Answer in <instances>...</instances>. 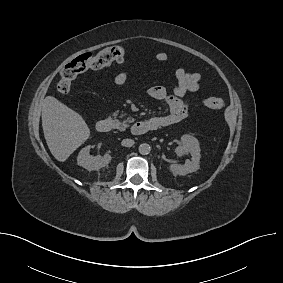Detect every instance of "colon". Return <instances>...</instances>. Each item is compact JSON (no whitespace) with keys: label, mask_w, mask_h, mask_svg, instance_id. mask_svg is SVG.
Returning <instances> with one entry per match:
<instances>
[{"label":"colon","mask_w":283,"mask_h":283,"mask_svg":"<svg viewBox=\"0 0 283 283\" xmlns=\"http://www.w3.org/2000/svg\"><path fill=\"white\" fill-rule=\"evenodd\" d=\"M125 57V50L121 46H112L101 50L97 54H82L71 62L66 64L60 72V79L57 82L56 89L59 94H68L71 90L74 79L81 73L89 69H98L110 65L114 62H120ZM205 107L221 110L224 102L218 97H209L202 101Z\"/></svg>","instance_id":"obj_1"}]
</instances>
